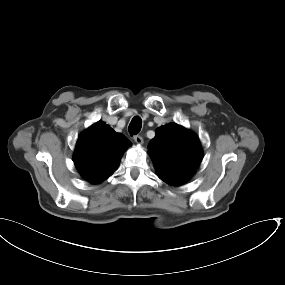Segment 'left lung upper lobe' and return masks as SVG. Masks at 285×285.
<instances>
[{"mask_svg": "<svg viewBox=\"0 0 285 285\" xmlns=\"http://www.w3.org/2000/svg\"><path fill=\"white\" fill-rule=\"evenodd\" d=\"M148 150L158 177L174 186L188 181L203 158L197 135L176 123L157 128Z\"/></svg>", "mask_w": 285, "mask_h": 285, "instance_id": "obj_1", "label": "left lung upper lobe"}]
</instances>
